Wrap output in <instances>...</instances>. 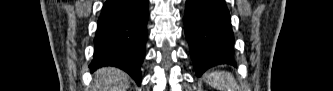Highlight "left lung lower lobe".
Here are the masks:
<instances>
[{"mask_svg": "<svg viewBox=\"0 0 333 91\" xmlns=\"http://www.w3.org/2000/svg\"><path fill=\"white\" fill-rule=\"evenodd\" d=\"M183 19L197 76L217 65H235L231 17L224 0H187Z\"/></svg>", "mask_w": 333, "mask_h": 91, "instance_id": "1", "label": "left lung lower lobe"}]
</instances>
